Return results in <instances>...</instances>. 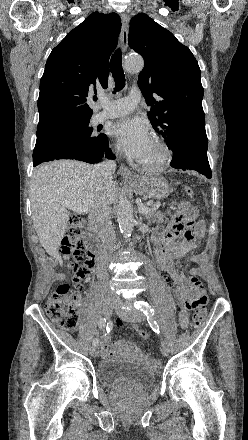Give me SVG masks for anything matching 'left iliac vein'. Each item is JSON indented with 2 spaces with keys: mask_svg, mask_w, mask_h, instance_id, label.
I'll use <instances>...</instances> for the list:
<instances>
[{
  "mask_svg": "<svg viewBox=\"0 0 248 440\" xmlns=\"http://www.w3.org/2000/svg\"><path fill=\"white\" fill-rule=\"evenodd\" d=\"M123 302L120 298L116 299L115 303V311L116 313L125 321L128 322H142L145 320V315L140 311H126L122 309ZM161 353L163 356H167L169 353V349L167 344L164 342L161 347Z\"/></svg>",
  "mask_w": 248,
  "mask_h": 440,
  "instance_id": "left-iliac-vein-1",
  "label": "left iliac vein"
}]
</instances>
